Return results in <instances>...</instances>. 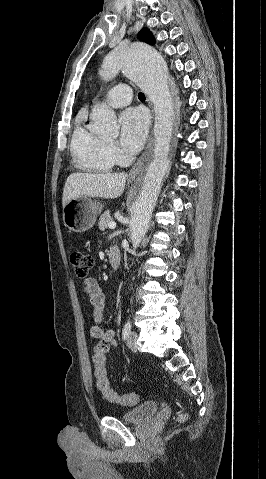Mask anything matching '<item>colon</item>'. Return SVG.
Masks as SVG:
<instances>
[{
	"instance_id": "obj_1",
	"label": "colon",
	"mask_w": 266,
	"mask_h": 479,
	"mask_svg": "<svg viewBox=\"0 0 266 479\" xmlns=\"http://www.w3.org/2000/svg\"><path fill=\"white\" fill-rule=\"evenodd\" d=\"M70 261L79 278H86L88 276L92 267V258L90 255L83 251L75 250L70 255ZM108 347L107 342L101 341L96 345L94 350L93 366L97 389L109 403H116L123 406L135 405L140 401V394L138 392L119 394L111 386L107 368ZM186 419V413H180L177 417L179 422H184Z\"/></svg>"
}]
</instances>
